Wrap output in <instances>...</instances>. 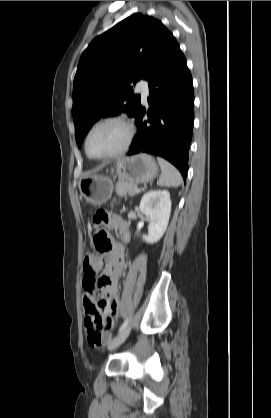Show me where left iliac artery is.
<instances>
[{
	"label": "left iliac artery",
	"mask_w": 271,
	"mask_h": 418,
	"mask_svg": "<svg viewBox=\"0 0 271 418\" xmlns=\"http://www.w3.org/2000/svg\"><path fill=\"white\" fill-rule=\"evenodd\" d=\"M129 319H126L123 324L120 326L118 333H121L128 325Z\"/></svg>",
	"instance_id": "left-iliac-artery-1"
}]
</instances>
